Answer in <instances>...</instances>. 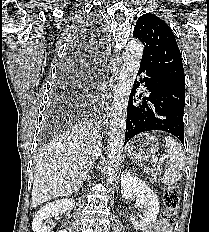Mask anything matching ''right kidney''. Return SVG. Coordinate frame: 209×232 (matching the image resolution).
Returning a JSON list of instances; mask_svg holds the SVG:
<instances>
[{
  "mask_svg": "<svg viewBox=\"0 0 209 232\" xmlns=\"http://www.w3.org/2000/svg\"><path fill=\"white\" fill-rule=\"evenodd\" d=\"M75 206L73 199H61L47 203L36 214L32 222L33 232H49L48 221L50 217L58 216L62 211H71ZM60 232H66L61 230Z\"/></svg>",
  "mask_w": 209,
  "mask_h": 232,
  "instance_id": "1",
  "label": "right kidney"
}]
</instances>
